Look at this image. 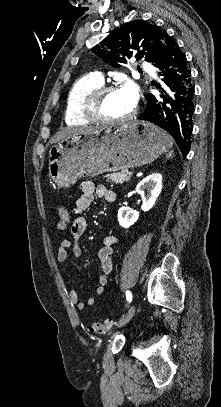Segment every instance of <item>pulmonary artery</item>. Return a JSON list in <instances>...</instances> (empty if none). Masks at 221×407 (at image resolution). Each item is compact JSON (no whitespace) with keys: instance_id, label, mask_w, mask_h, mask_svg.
Masks as SVG:
<instances>
[{"instance_id":"pulmonary-artery-1","label":"pulmonary artery","mask_w":221,"mask_h":407,"mask_svg":"<svg viewBox=\"0 0 221 407\" xmlns=\"http://www.w3.org/2000/svg\"><path fill=\"white\" fill-rule=\"evenodd\" d=\"M142 68L144 71L154 73V69L149 64H143ZM91 75L95 79H97V81H99L100 83L104 82V76L100 72L95 71V72L91 73Z\"/></svg>"}]
</instances>
